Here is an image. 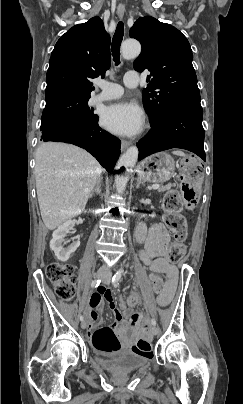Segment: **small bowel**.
I'll return each mask as SVG.
<instances>
[{
    "label": "small bowel",
    "mask_w": 243,
    "mask_h": 404,
    "mask_svg": "<svg viewBox=\"0 0 243 404\" xmlns=\"http://www.w3.org/2000/svg\"><path fill=\"white\" fill-rule=\"evenodd\" d=\"M136 236L137 240L143 244L140 254L142 261L153 272L163 273L167 277L162 292L157 296L158 304L166 306L172 300L178 282L177 268L163 258L165 246L169 241V233L162 224H154L149 229L141 225L137 230ZM105 301L116 316V323L113 325L116 336L125 345L133 344L134 340L144 332L145 322L147 323L148 319L144 321L140 313H134L128 322L123 321L121 314L116 309L113 292L104 287L98 288L97 292L92 294L90 298L91 313L88 319L89 329L98 320ZM129 327H133L131 335L128 334Z\"/></svg>",
    "instance_id": "obj_1"
}]
</instances>
